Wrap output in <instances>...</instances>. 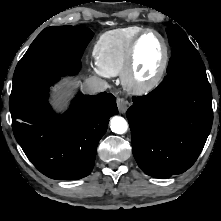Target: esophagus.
I'll return each instance as SVG.
<instances>
[{"instance_id": "esophagus-1", "label": "esophagus", "mask_w": 221, "mask_h": 221, "mask_svg": "<svg viewBox=\"0 0 221 221\" xmlns=\"http://www.w3.org/2000/svg\"><path fill=\"white\" fill-rule=\"evenodd\" d=\"M119 112L124 114L127 110V101L124 98H117Z\"/></svg>"}]
</instances>
